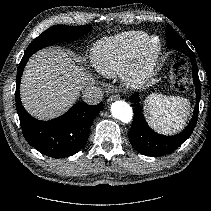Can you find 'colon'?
<instances>
[{
  "instance_id": "5ec220e1",
  "label": "colon",
  "mask_w": 211,
  "mask_h": 211,
  "mask_svg": "<svg viewBox=\"0 0 211 211\" xmlns=\"http://www.w3.org/2000/svg\"><path fill=\"white\" fill-rule=\"evenodd\" d=\"M170 80L179 91L188 89L187 66L183 59L177 58L173 61L170 71Z\"/></svg>"
}]
</instances>
